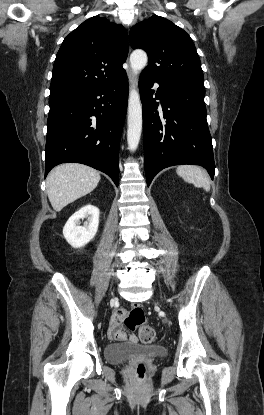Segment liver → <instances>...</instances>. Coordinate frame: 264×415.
I'll return each instance as SVG.
<instances>
[{"instance_id":"liver-1","label":"liver","mask_w":264,"mask_h":415,"mask_svg":"<svg viewBox=\"0 0 264 415\" xmlns=\"http://www.w3.org/2000/svg\"><path fill=\"white\" fill-rule=\"evenodd\" d=\"M100 173L83 164L66 163L53 168L47 176V194L56 211L93 191Z\"/></svg>"}]
</instances>
